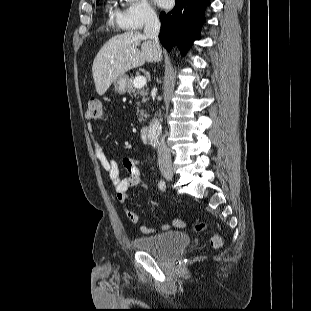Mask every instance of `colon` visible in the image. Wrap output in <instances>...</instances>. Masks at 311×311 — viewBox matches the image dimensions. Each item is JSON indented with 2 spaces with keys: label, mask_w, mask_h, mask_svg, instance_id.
Listing matches in <instances>:
<instances>
[{
  "label": "colon",
  "mask_w": 311,
  "mask_h": 311,
  "mask_svg": "<svg viewBox=\"0 0 311 311\" xmlns=\"http://www.w3.org/2000/svg\"><path fill=\"white\" fill-rule=\"evenodd\" d=\"M103 106L99 99H90L87 106L86 117L89 121H101L103 119ZM208 228L207 224L203 221H198L195 224L196 231H204ZM210 244L214 248L221 246V238L218 234L213 233L210 238Z\"/></svg>",
  "instance_id": "1"
}]
</instances>
